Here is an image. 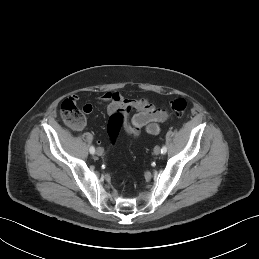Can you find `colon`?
I'll return each mask as SVG.
<instances>
[{
    "label": "colon",
    "mask_w": 259,
    "mask_h": 259,
    "mask_svg": "<svg viewBox=\"0 0 259 259\" xmlns=\"http://www.w3.org/2000/svg\"><path fill=\"white\" fill-rule=\"evenodd\" d=\"M169 108L176 116H181L187 108V101L183 97H175L169 102ZM84 106L80 108L73 97L64 99L60 105L62 120L72 128L79 129L85 123ZM125 122V115L121 111L111 114L107 124V134L111 145L118 140L121 128Z\"/></svg>",
    "instance_id": "1"
}]
</instances>
